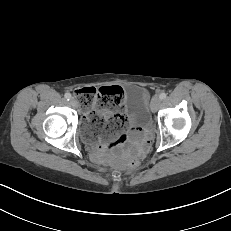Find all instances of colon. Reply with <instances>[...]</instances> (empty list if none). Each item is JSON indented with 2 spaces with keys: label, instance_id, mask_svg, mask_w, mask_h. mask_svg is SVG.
Masks as SVG:
<instances>
[{
  "label": "colon",
  "instance_id": "1",
  "mask_svg": "<svg viewBox=\"0 0 231 231\" xmlns=\"http://www.w3.org/2000/svg\"><path fill=\"white\" fill-rule=\"evenodd\" d=\"M80 104L83 109L89 110V121L108 135H118L119 140L126 137L127 127L126 116L122 112L124 92L119 86H109L101 88L99 91L94 89H81L76 91ZM107 111L103 113L102 111ZM122 165L128 168L138 166L135 160H126Z\"/></svg>",
  "mask_w": 231,
  "mask_h": 231
}]
</instances>
